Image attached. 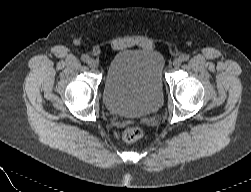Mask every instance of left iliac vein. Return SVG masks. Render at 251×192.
Here are the masks:
<instances>
[{"mask_svg":"<svg viewBox=\"0 0 251 192\" xmlns=\"http://www.w3.org/2000/svg\"><path fill=\"white\" fill-rule=\"evenodd\" d=\"M182 63V60L180 58H176L174 61H173V66L174 68H179L180 65Z\"/></svg>","mask_w":251,"mask_h":192,"instance_id":"obj_1","label":"left iliac vein"}]
</instances>
